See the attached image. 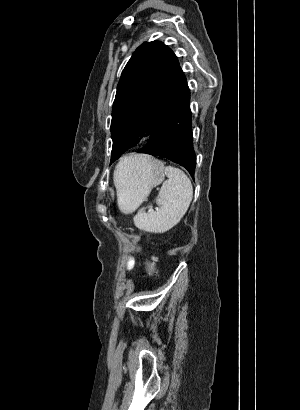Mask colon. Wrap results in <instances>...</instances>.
I'll use <instances>...</instances> for the list:
<instances>
[{
	"mask_svg": "<svg viewBox=\"0 0 300 410\" xmlns=\"http://www.w3.org/2000/svg\"><path fill=\"white\" fill-rule=\"evenodd\" d=\"M146 269L149 275H154L156 273L155 260L153 258L146 262Z\"/></svg>",
	"mask_w": 300,
	"mask_h": 410,
	"instance_id": "obj_1",
	"label": "colon"
}]
</instances>
